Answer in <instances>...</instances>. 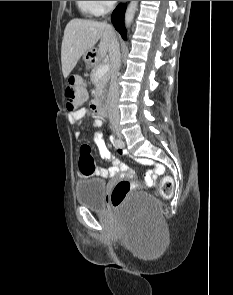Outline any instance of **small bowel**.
Listing matches in <instances>:
<instances>
[{"label": "small bowel", "instance_id": "c3829d8e", "mask_svg": "<svg viewBox=\"0 0 233 295\" xmlns=\"http://www.w3.org/2000/svg\"><path fill=\"white\" fill-rule=\"evenodd\" d=\"M90 114H91L90 111H87L85 108L80 107L74 113L70 115V118H69L70 123L73 124L75 127H78L85 119H87L88 116H90ZM94 125L96 127H100L102 125L101 120L95 119ZM95 142H96L101 158L104 160L105 163L110 165V167L107 169L96 168L94 171L95 175L110 179L115 177L119 173H124L129 171V167L123 162H121L115 155H113L109 151L102 135H98L95 139ZM117 149L119 154L126 153L123 147H117ZM138 162L150 167L151 168L150 172L154 173L152 178L149 177L147 179V183L149 185L153 183V179L155 178V176H157L158 174H161L163 171V166L161 164L154 163L150 159L141 158L138 160Z\"/></svg>", "mask_w": 233, "mask_h": 295}]
</instances>
